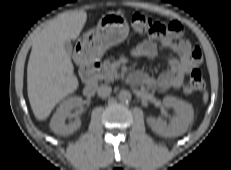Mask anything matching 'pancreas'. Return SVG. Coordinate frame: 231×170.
Instances as JSON below:
<instances>
[{
  "instance_id": "obj_1",
  "label": "pancreas",
  "mask_w": 231,
  "mask_h": 170,
  "mask_svg": "<svg viewBox=\"0 0 231 170\" xmlns=\"http://www.w3.org/2000/svg\"><path fill=\"white\" fill-rule=\"evenodd\" d=\"M117 69L113 66L110 60H105L103 63L102 71L98 74L100 80H105L107 82L114 81L118 78Z\"/></svg>"
}]
</instances>
